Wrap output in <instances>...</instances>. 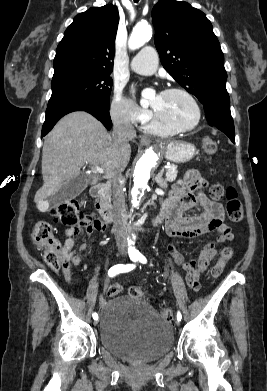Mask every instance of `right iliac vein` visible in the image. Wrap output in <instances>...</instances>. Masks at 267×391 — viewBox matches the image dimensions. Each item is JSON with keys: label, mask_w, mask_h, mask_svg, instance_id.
I'll use <instances>...</instances> for the list:
<instances>
[{"label": "right iliac vein", "mask_w": 267, "mask_h": 391, "mask_svg": "<svg viewBox=\"0 0 267 391\" xmlns=\"http://www.w3.org/2000/svg\"><path fill=\"white\" fill-rule=\"evenodd\" d=\"M97 324H98V321H97V320H95V321H94V325H97Z\"/></svg>", "instance_id": "1"}]
</instances>
